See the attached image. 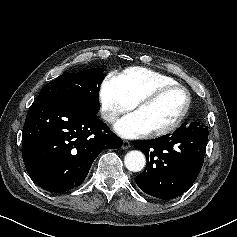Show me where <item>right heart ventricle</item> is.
<instances>
[{
    "label": "right heart ventricle",
    "instance_id": "e07e8e85",
    "mask_svg": "<svg viewBox=\"0 0 237 237\" xmlns=\"http://www.w3.org/2000/svg\"><path fill=\"white\" fill-rule=\"evenodd\" d=\"M113 77L133 104L158 86L177 83L170 76L141 67L127 68Z\"/></svg>",
    "mask_w": 237,
    "mask_h": 237
}]
</instances>
